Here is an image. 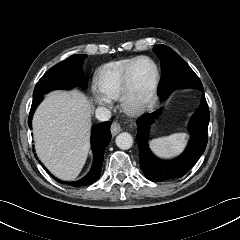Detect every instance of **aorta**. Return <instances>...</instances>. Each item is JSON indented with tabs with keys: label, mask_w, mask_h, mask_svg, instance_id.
<instances>
[{
	"label": "aorta",
	"mask_w": 240,
	"mask_h": 240,
	"mask_svg": "<svg viewBox=\"0 0 240 240\" xmlns=\"http://www.w3.org/2000/svg\"><path fill=\"white\" fill-rule=\"evenodd\" d=\"M115 142L120 149L127 150L130 149L133 145V137L131 134L123 132L116 137Z\"/></svg>",
	"instance_id": "1"
}]
</instances>
